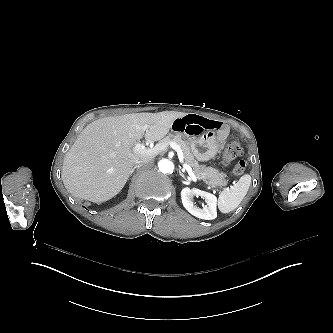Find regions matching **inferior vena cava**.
Returning <instances> with one entry per match:
<instances>
[{
  "label": "inferior vena cava",
  "instance_id": "602c4592",
  "mask_svg": "<svg viewBox=\"0 0 333 333\" xmlns=\"http://www.w3.org/2000/svg\"><path fill=\"white\" fill-rule=\"evenodd\" d=\"M151 160H152V158H150V157H146L143 160H137L135 166L140 167L143 164L149 163Z\"/></svg>",
  "mask_w": 333,
  "mask_h": 333
}]
</instances>
